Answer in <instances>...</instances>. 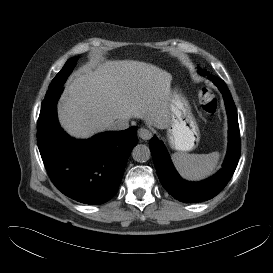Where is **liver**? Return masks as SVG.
<instances>
[{
  "label": "liver",
  "mask_w": 273,
  "mask_h": 273,
  "mask_svg": "<svg viewBox=\"0 0 273 273\" xmlns=\"http://www.w3.org/2000/svg\"><path fill=\"white\" fill-rule=\"evenodd\" d=\"M172 75L134 60L87 66L67 82L58 107L63 128L77 138L109 129L118 119L141 118L165 129L170 124Z\"/></svg>",
  "instance_id": "6515ba94"
}]
</instances>
